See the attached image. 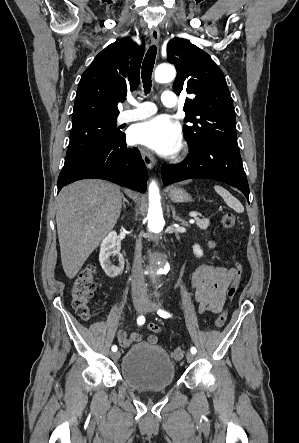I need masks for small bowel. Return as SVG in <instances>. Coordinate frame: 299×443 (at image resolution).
<instances>
[{
    "label": "small bowel",
    "instance_id": "c3829d8e",
    "mask_svg": "<svg viewBox=\"0 0 299 443\" xmlns=\"http://www.w3.org/2000/svg\"><path fill=\"white\" fill-rule=\"evenodd\" d=\"M209 248H214L216 244L210 241ZM233 278V269L214 265H201L196 268L190 277L191 286L194 289L195 301L198 304V311L219 313L221 312L226 296V290ZM147 329L152 331L147 337V343L157 344L158 336L162 327L159 324L149 323ZM119 344L123 348H128L132 343H140L143 338L138 333H132L130 336L124 330L117 334Z\"/></svg>",
    "mask_w": 299,
    "mask_h": 443
}]
</instances>
